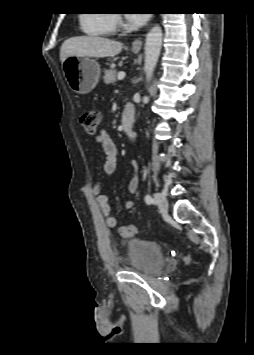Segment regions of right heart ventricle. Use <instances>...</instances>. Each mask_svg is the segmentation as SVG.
<instances>
[{
	"mask_svg": "<svg viewBox=\"0 0 254 355\" xmlns=\"http://www.w3.org/2000/svg\"><path fill=\"white\" fill-rule=\"evenodd\" d=\"M80 24L82 30L93 37L110 36L114 32L112 15L108 12H89L81 15Z\"/></svg>",
	"mask_w": 254,
	"mask_h": 355,
	"instance_id": "e07e8e85",
	"label": "right heart ventricle"
}]
</instances>
